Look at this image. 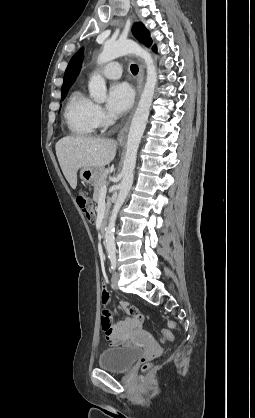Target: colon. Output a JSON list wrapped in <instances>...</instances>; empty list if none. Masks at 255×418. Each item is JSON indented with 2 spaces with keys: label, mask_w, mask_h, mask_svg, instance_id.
Returning <instances> with one entry per match:
<instances>
[{
  "label": "colon",
  "mask_w": 255,
  "mask_h": 418,
  "mask_svg": "<svg viewBox=\"0 0 255 418\" xmlns=\"http://www.w3.org/2000/svg\"><path fill=\"white\" fill-rule=\"evenodd\" d=\"M76 202H77V205L79 206L80 210L84 213V215L88 219V221L93 222L95 214H94L92 204H91L89 198L87 197V195L83 192H79L76 196ZM169 327L171 329H173L175 327V324L173 322H170ZM163 339L166 342L172 341L173 336H172L171 332L164 331L163 332ZM149 367H150V364L148 362H143L142 371L148 370Z\"/></svg>",
  "instance_id": "obj_1"
}]
</instances>
